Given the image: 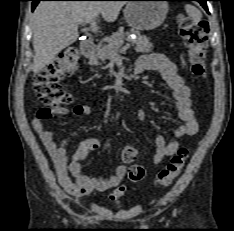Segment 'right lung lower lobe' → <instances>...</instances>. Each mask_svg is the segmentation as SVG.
<instances>
[{"mask_svg": "<svg viewBox=\"0 0 234 231\" xmlns=\"http://www.w3.org/2000/svg\"><path fill=\"white\" fill-rule=\"evenodd\" d=\"M33 1L32 4V11H34L35 7L40 1H74V0H31ZM85 1V0H84ZM87 1V0H86ZM89 1V0H88ZM91 1V0H90ZM92 1H107V0H92Z\"/></svg>", "mask_w": 234, "mask_h": 231, "instance_id": "obj_1", "label": "right lung lower lobe"}]
</instances>
